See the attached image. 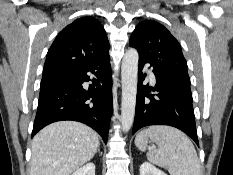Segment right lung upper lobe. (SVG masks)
Instances as JSON below:
<instances>
[{
  "mask_svg": "<svg viewBox=\"0 0 233 175\" xmlns=\"http://www.w3.org/2000/svg\"><path fill=\"white\" fill-rule=\"evenodd\" d=\"M109 54V42L101 23L82 17L66 26L48 50L42 79L68 72Z\"/></svg>",
  "mask_w": 233,
  "mask_h": 175,
  "instance_id": "obj_1",
  "label": "right lung upper lobe"
}]
</instances>
